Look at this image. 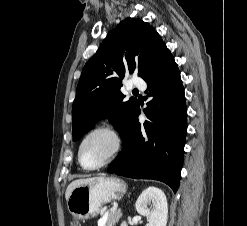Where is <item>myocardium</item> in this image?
Listing matches in <instances>:
<instances>
[{
  "label": "myocardium",
  "instance_id": "1",
  "mask_svg": "<svg viewBox=\"0 0 247 226\" xmlns=\"http://www.w3.org/2000/svg\"><path fill=\"white\" fill-rule=\"evenodd\" d=\"M97 133H106L110 135L113 139V148L109 156L103 162L95 166H87L84 164L83 159H82V149H83V146L86 140L92 135L97 134ZM121 149H122V138H121L119 131L110 124H102V125L96 126L92 128L91 130H89L81 139L79 147H78V161L80 165L86 170H97V169L107 166L112 161H114L119 155V153L121 152Z\"/></svg>",
  "mask_w": 247,
  "mask_h": 226
}]
</instances>
